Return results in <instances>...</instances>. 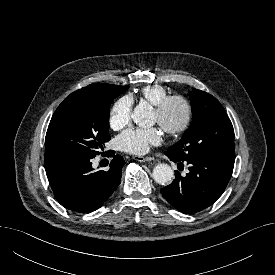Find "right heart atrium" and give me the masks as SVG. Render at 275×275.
Returning a JSON list of instances; mask_svg holds the SVG:
<instances>
[{
    "mask_svg": "<svg viewBox=\"0 0 275 275\" xmlns=\"http://www.w3.org/2000/svg\"><path fill=\"white\" fill-rule=\"evenodd\" d=\"M132 105L133 100L130 96H123L113 104L109 116L112 129L120 130L130 122Z\"/></svg>",
    "mask_w": 275,
    "mask_h": 275,
    "instance_id": "right-heart-atrium-1",
    "label": "right heart atrium"
}]
</instances>
